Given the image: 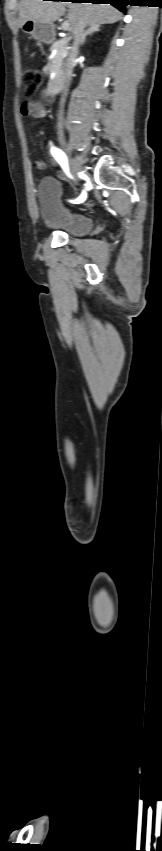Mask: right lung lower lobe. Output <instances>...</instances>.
<instances>
[{
  "instance_id": "1",
  "label": "right lung lower lobe",
  "mask_w": 162,
  "mask_h": 851,
  "mask_svg": "<svg viewBox=\"0 0 162 851\" xmlns=\"http://www.w3.org/2000/svg\"><path fill=\"white\" fill-rule=\"evenodd\" d=\"M56 1H63V0H56ZM71 2H81V3L88 2V3H92V4H110V5L115 6L120 11L125 12V5L128 4L129 0H71Z\"/></svg>"
}]
</instances>
